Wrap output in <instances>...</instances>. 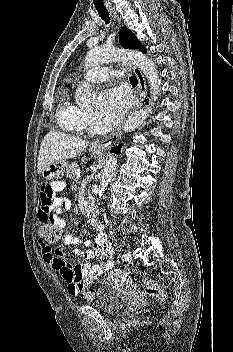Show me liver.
I'll use <instances>...</instances> for the list:
<instances>
[{"instance_id":"1","label":"liver","mask_w":233,"mask_h":352,"mask_svg":"<svg viewBox=\"0 0 233 352\" xmlns=\"http://www.w3.org/2000/svg\"><path fill=\"white\" fill-rule=\"evenodd\" d=\"M87 146L88 142L80 138L54 130L48 132L42 140L39 151L38 174H41L42 170L51 163L80 155Z\"/></svg>"}]
</instances>
